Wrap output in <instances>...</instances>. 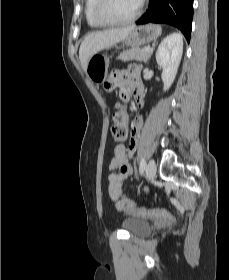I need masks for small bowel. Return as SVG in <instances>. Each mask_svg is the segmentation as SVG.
I'll list each match as a JSON object with an SVG mask.
<instances>
[{"label":"small bowel","mask_w":229,"mask_h":280,"mask_svg":"<svg viewBox=\"0 0 229 280\" xmlns=\"http://www.w3.org/2000/svg\"><path fill=\"white\" fill-rule=\"evenodd\" d=\"M104 87L108 92L118 89L123 100H127L130 91H132L138 106L142 107L145 103L144 85L140 66L137 64H130L125 71L113 72ZM117 108L118 111L126 113L121 105H118ZM142 126V118H135L131 126L129 146L125 147L124 144L120 143L114 147L113 156L109 164L110 174L108 175V189L112 199H117L122 195L123 182L133 173V168L128 161V155L132 156L137 150ZM116 170H119V172H116ZM115 190L118 191L117 195H113ZM118 209L121 208L118 207Z\"/></svg>","instance_id":"obj_1"}]
</instances>
